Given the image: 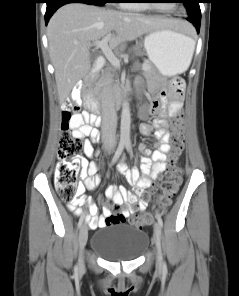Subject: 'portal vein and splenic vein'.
<instances>
[{"instance_id":"1","label":"portal vein and splenic vein","mask_w":239,"mask_h":296,"mask_svg":"<svg viewBox=\"0 0 239 296\" xmlns=\"http://www.w3.org/2000/svg\"><path fill=\"white\" fill-rule=\"evenodd\" d=\"M110 37H111V34H108L102 40L93 42V45L96 48H100L102 50L105 57L107 58V60L111 63V65L113 67H115L116 69H120V61L113 53L111 47H109V45H108V41H109ZM142 69L147 70L148 67L143 65Z\"/></svg>"}]
</instances>
